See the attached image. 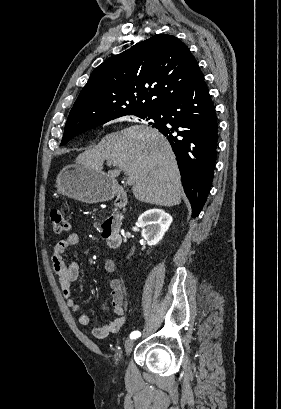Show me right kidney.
I'll use <instances>...</instances> for the list:
<instances>
[{
  "mask_svg": "<svg viewBox=\"0 0 281 409\" xmlns=\"http://www.w3.org/2000/svg\"><path fill=\"white\" fill-rule=\"evenodd\" d=\"M172 223V217L162 209H148L138 219L142 231L141 235L147 241L149 247L157 245L163 235L168 231Z\"/></svg>",
  "mask_w": 281,
  "mask_h": 409,
  "instance_id": "right-kidney-1",
  "label": "right kidney"
}]
</instances>
